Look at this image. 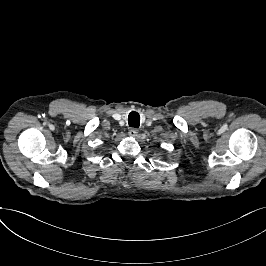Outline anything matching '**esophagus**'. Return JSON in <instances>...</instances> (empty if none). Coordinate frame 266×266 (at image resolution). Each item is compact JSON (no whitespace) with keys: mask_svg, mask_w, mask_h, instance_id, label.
I'll return each mask as SVG.
<instances>
[{"mask_svg":"<svg viewBox=\"0 0 266 266\" xmlns=\"http://www.w3.org/2000/svg\"><path fill=\"white\" fill-rule=\"evenodd\" d=\"M128 133H129V136L135 137L138 134V130L137 129H130Z\"/></svg>","mask_w":266,"mask_h":266,"instance_id":"34e87169","label":"esophagus"}]
</instances>
